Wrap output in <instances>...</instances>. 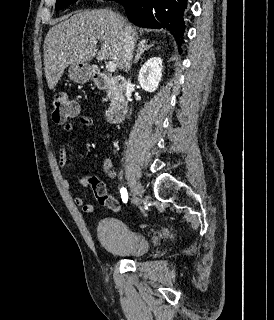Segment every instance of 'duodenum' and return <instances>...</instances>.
<instances>
[{
    "mask_svg": "<svg viewBox=\"0 0 274 320\" xmlns=\"http://www.w3.org/2000/svg\"><path fill=\"white\" fill-rule=\"evenodd\" d=\"M92 78L100 90H115L113 103L107 111V120L111 123L122 121L129 108L127 79L120 75L110 76L101 71L93 72Z\"/></svg>",
    "mask_w": 274,
    "mask_h": 320,
    "instance_id": "1",
    "label": "duodenum"
}]
</instances>
